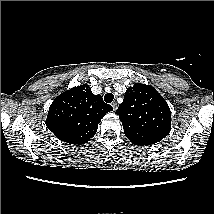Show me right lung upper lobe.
I'll list each match as a JSON object with an SVG mask.
<instances>
[{
	"instance_id": "cb5924a9",
	"label": "right lung upper lobe",
	"mask_w": 214,
	"mask_h": 214,
	"mask_svg": "<svg viewBox=\"0 0 214 214\" xmlns=\"http://www.w3.org/2000/svg\"><path fill=\"white\" fill-rule=\"evenodd\" d=\"M113 111L87 84L61 93L50 105L46 126L61 141L85 144L96 133L98 123Z\"/></svg>"
}]
</instances>
